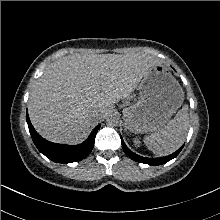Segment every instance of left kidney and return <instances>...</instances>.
<instances>
[{"label": "left kidney", "mask_w": 220, "mask_h": 220, "mask_svg": "<svg viewBox=\"0 0 220 220\" xmlns=\"http://www.w3.org/2000/svg\"><path fill=\"white\" fill-rule=\"evenodd\" d=\"M133 143H134V146H135V147H140V141H139V139L135 138V139L133 140Z\"/></svg>", "instance_id": "left-kidney-1"}]
</instances>
